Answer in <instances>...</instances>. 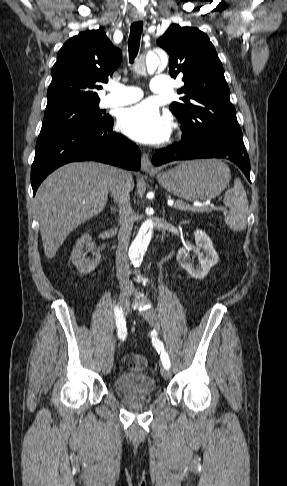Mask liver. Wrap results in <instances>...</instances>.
Returning <instances> with one entry per match:
<instances>
[{
    "label": "liver",
    "instance_id": "liver-1",
    "mask_svg": "<svg viewBox=\"0 0 287 486\" xmlns=\"http://www.w3.org/2000/svg\"><path fill=\"white\" fill-rule=\"evenodd\" d=\"M114 169L97 162L69 163L42 182L35 205L47 259L56 255L74 229L104 209ZM126 174L131 191L133 177L129 172Z\"/></svg>",
    "mask_w": 287,
    "mask_h": 486
}]
</instances>
